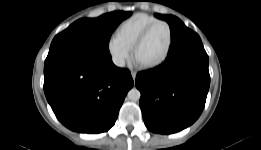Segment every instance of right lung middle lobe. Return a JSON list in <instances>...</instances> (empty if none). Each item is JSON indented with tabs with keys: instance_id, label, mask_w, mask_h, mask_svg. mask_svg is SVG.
Here are the masks:
<instances>
[{
	"instance_id": "obj_1",
	"label": "right lung middle lobe",
	"mask_w": 261,
	"mask_h": 150,
	"mask_svg": "<svg viewBox=\"0 0 261 150\" xmlns=\"http://www.w3.org/2000/svg\"><path fill=\"white\" fill-rule=\"evenodd\" d=\"M130 15L131 12L114 11L98 18L79 19L54 37L49 53L76 50L110 54L108 44L111 34Z\"/></svg>"
}]
</instances>
